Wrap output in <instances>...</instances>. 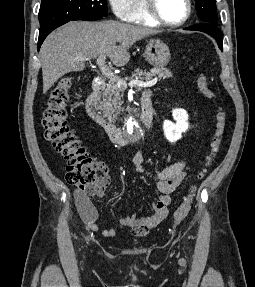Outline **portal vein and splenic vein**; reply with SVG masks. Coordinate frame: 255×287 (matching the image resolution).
<instances>
[{
	"label": "portal vein and splenic vein",
	"instance_id": "obj_1",
	"mask_svg": "<svg viewBox=\"0 0 255 287\" xmlns=\"http://www.w3.org/2000/svg\"><path fill=\"white\" fill-rule=\"evenodd\" d=\"M80 60H83V62H86L87 58H80ZM106 56H98L96 62L104 76L108 78V80H111V82H117L118 88L120 86H124L126 88L127 84L124 82V80H120L118 76H114L112 74L111 70H109L108 66H105L106 62ZM158 78H154V80H150V82H141V80H132V82H129L128 86L130 88H134V86H137V88H152V86H155L157 84Z\"/></svg>",
	"mask_w": 255,
	"mask_h": 287
}]
</instances>
